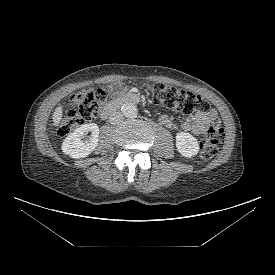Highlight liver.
<instances>
[{
	"label": "liver",
	"instance_id": "6515ba94",
	"mask_svg": "<svg viewBox=\"0 0 275 275\" xmlns=\"http://www.w3.org/2000/svg\"><path fill=\"white\" fill-rule=\"evenodd\" d=\"M62 117H63V107H62V105H59L55 109V111L52 115L53 125L58 126L62 121Z\"/></svg>",
	"mask_w": 275,
	"mask_h": 275
}]
</instances>
